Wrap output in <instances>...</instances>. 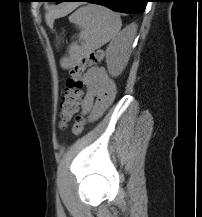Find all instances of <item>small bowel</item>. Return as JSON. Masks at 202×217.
<instances>
[{"label":"small bowel","mask_w":202,"mask_h":217,"mask_svg":"<svg viewBox=\"0 0 202 217\" xmlns=\"http://www.w3.org/2000/svg\"><path fill=\"white\" fill-rule=\"evenodd\" d=\"M82 83L85 87L81 99L82 110L91 112V119H97L113 101L116 94V83L103 67L88 69L83 75Z\"/></svg>","instance_id":"c3829d8e"}]
</instances>
